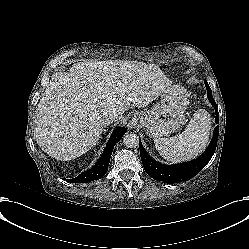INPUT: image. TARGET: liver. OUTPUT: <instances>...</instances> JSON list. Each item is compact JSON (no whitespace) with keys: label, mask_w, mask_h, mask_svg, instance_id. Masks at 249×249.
Here are the masks:
<instances>
[{"label":"liver","mask_w":249,"mask_h":249,"mask_svg":"<svg viewBox=\"0 0 249 249\" xmlns=\"http://www.w3.org/2000/svg\"><path fill=\"white\" fill-rule=\"evenodd\" d=\"M156 66L123 61L79 63L55 75L37 107V144L58 160L75 159L96 146L110 113L118 119L145 107L165 90Z\"/></svg>","instance_id":"6515ba94"}]
</instances>
